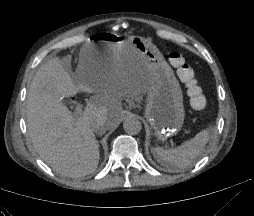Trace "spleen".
Segmentation results:
<instances>
[{"mask_svg":"<svg viewBox=\"0 0 254 216\" xmlns=\"http://www.w3.org/2000/svg\"><path fill=\"white\" fill-rule=\"evenodd\" d=\"M211 131L204 129L196 136L174 149L155 147L152 149L154 156L170 170L184 169L204 150L210 139Z\"/></svg>","mask_w":254,"mask_h":216,"instance_id":"1","label":"spleen"}]
</instances>
